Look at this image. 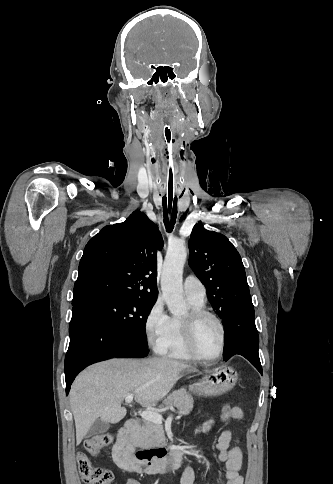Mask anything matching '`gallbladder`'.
I'll return each instance as SVG.
<instances>
[{"instance_id":"gallbladder-1","label":"gallbladder","mask_w":333,"mask_h":484,"mask_svg":"<svg viewBox=\"0 0 333 484\" xmlns=\"http://www.w3.org/2000/svg\"><path fill=\"white\" fill-rule=\"evenodd\" d=\"M109 428H110L109 422L98 419L90 427L87 433V437L103 434L107 432Z\"/></svg>"}]
</instances>
